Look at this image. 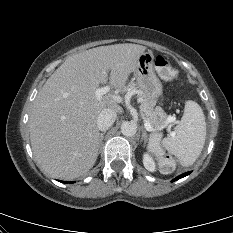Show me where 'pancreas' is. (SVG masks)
Masks as SVG:
<instances>
[{
  "label": "pancreas",
  "instance_id": "1",
  "mask_svg": "<svg viewBox=\"0 0 233 233\" xmlns=\"http://www.w3.org/2000/svg\"><path fill=\"white\" fill-rule=\"evenodd\" d=\"M127 94L135 95L137 94L141 99V108L144 111L146 118L153 126V128L157 129L159 126L163 125L167 119V115L161 107H155V104L152 101L147 100L140 89H138L137 85L134 81H131L127 88H125ZM157 141H159L161 135L153 134Z\"/></svg>",
  "mask_w": 233,
  "mask_h": 233
}]
</instances>
